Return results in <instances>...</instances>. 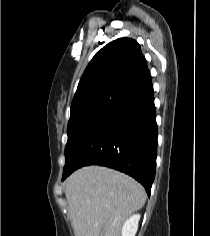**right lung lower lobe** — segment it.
<instances>
[{
  "instance_id": "obj_1",
  "label": "right lung lower lobe",
  "mask_w": 210,
  "mask_h": 236,
  "mask_svg": "<svg viewBox=\"0 0 210 236\" xmlns=\"http://www.w3.org/2000/svg\"><path fill=\"white\" fill-rule=\"evenodd\" d=\"M157 124L151 78L131 89L90 130L65 165L62 180L85 165L124 172L150 196L157 157Z\"/></svg>"
}]
</instances>
